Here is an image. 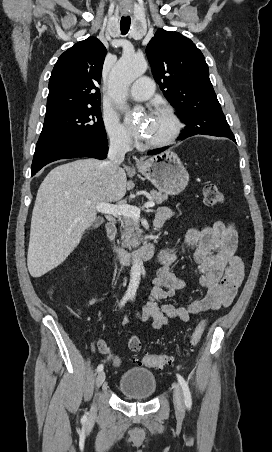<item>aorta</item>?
<instances>
[{
    "instance_id": "obj_1",
    "label": "aorta",
    "mask_w": 272,
    "mask_h": 452,
    "mask_svg": "<svg viewBox=\"0 0 272 452\" xmlns=\"http://www.w3.org/2000/svg\"><path fill=\"white\" fill-rule=\"evenodd\" d=\"M147 70V62L136 55H123L114 66L109 76L110 95L120 109H126V95L131 83ZM142 273L141 260L135 259L130 271L127 294L135 296Z\"/></svg>"
}]
</instances>
